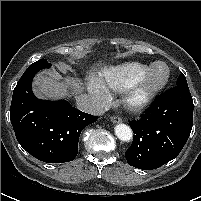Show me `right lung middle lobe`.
I'll use <instances>...</instances> for the list:
<instances>
[{"label":"right lung middle lobe","mask_w":201,"mask_h":201,"mask_svg":"<svg viewBox=\"0 0 201 201\" xmlns=\"http://www.w3.org/2000/svg\"><path fill=\"white\" fill-rule=\"evenodd\" d=\"M41 65H48V62L46 59H40L37 62L31 64V67L41 66Z\"/></svg>","instance_id":"dd1d6c3e"}]
</instances>
